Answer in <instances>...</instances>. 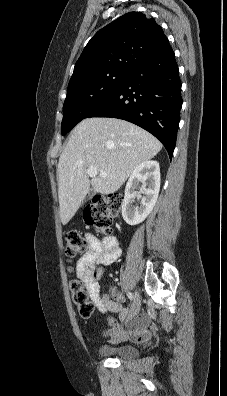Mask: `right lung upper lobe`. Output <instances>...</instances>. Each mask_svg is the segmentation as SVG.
I'll return each mask as SVG.
<instances>
[{
	"label": "right lung upper lobe",
	"mask_w": 227,
	"mask_h": 396,
	"mask_svg": "<svg viewBox=\"0 0 227 396\" xmlns=\"http://www.w3.org/2000/svg\"><path fill=\"white\" fill-rule=\"evenodd\" d=\"M169 44L162 27L141 12H129L99 30L75 64L68 87L109 70H132Z\"/></svg>",
	"instance_id": "1"
}]
</instances>
